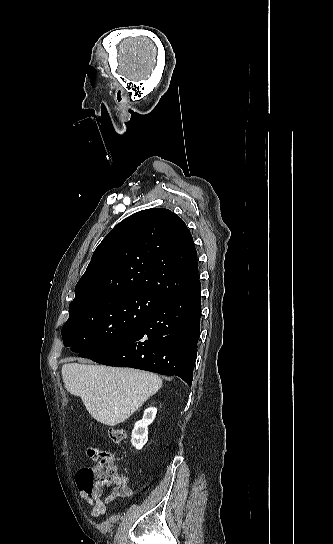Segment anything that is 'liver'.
Listing matches in <instances>:
<instances>
[{
    "label": "liver",
    "mask_w": 333,
    "mask_h": 544,
    "mask_svg": "<svg viewBox=\"0 0 333 544\" xmlns=\"http://www.w3.org/2000/svg\"><path fill=\"white\" fill-rule=\"evenodd\" d=\"M61 372L67 391L80 396L91 416L107 426L127 420L162 386L158 375L131 368L69 363Z\"/></svg>",
    "instance_id": "obj_1"
}]
</instances>
